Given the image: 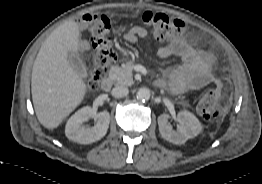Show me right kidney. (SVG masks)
<instances>
[{
	"label": "right kidney",
	"instance_id": "obj_1",
	"mask_svg": "<svg viewBox=\"0 0 262 184\" xmlns=\"http://www.w3.org/2000/svg\"><path fill=\"white\" fill-rule=\"evenodd\" d=\"M90 118H95L93 127L84 125ZM110 122L108 111L96 114L89 106L83 107L70 117L65 127L66 137L80 144H90L100 140L107 133Z\"/></svg>",
	"mask_w": 262,
	"mask_h": 184
}]
</instances>
